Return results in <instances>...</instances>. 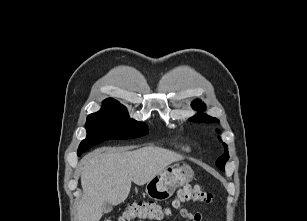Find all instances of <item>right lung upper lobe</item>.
Segmentation results:
<instances>
[{
    "instance_id": "cb5924a9",
    "label": "right lung upper lobe",
    "mask_w": 307,
    "mask_h": 221,
    "mask_svg": "<svg viewBox=\"0 0 307 221\" xmlns=\"http://www.w3.org/2000/svg\"><path fill=\"white\" fill-rule=\"evenodd\" d=\"M104 104H119L118 101L112 99V98H108L106 100L103 101Z\"/></svg>"
}]
</instances>
